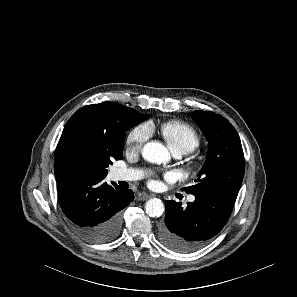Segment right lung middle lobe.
<instances>
[{
	"mask_svg": "<svg viewBox=\"0 0 297 297\" xmlns=\"http://www.w3.org/2000/svg\"><path fill=\"white\" fill-rule=\"evenodd\" d=\"M148 117H149V114L142 115L134 109L126 108V110L124 111V121L126 124L125 131L129 130L131 127L137 125L138 123L147 119ZM114 159L116 160L122 159V152L118 157H115ZM112 160L113 158L109 154H104L103 156L98 158V162L102 165V169H100V171L97 172L98 175L102 177H105L107 175L106 168L108 167L109 164L112 163L111 162ZM96 167H97L96 162L94 160L91 161V163L89 164L90 172L96 173L95 172Z\"/></svg>",
	"mask_w": 297,
	"mask_h": 297,
	"instance_id": "obj_1",
	"label": "right lung middle lobe"
}]
</instances>
